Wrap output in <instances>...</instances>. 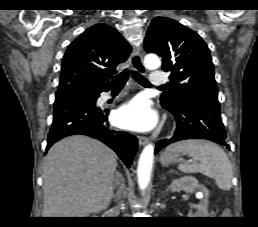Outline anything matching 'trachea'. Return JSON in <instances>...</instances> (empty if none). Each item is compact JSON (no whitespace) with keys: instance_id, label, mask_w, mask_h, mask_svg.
Segmentation results:
<instances>
[{"instance_id":"3493384b","label":"trachea","mask_w":258,"mask_h":227,"mask_svg":"<svg viewBox=\"0 0 258 227\" xmlns=\"http://www.w3.org/2000/svg\"><path fill=\"white\" fill-rule=\"evenodd\" d=\"M129 74H130L129 70L125 69L119 75L114 76L112 78L114 89H122L126 84V81L128 80ZM131 74H132V77L142 86H145V87L151 86L150 82L138 72L132 71ZM164 87H166V85L160 86V88H164Z\"/></svg>"}]
</instances>
